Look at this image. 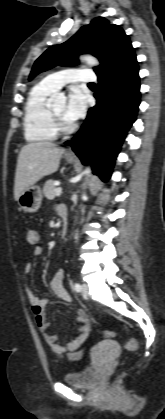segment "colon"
Wrapping results in <instances>:
<instances>
[{
	"label": "colon",
	"mask_w": 165,
	"mask_h": 419,
	"mask_svg": "<svg viewBox=\"0 0 165 419\" xmlns=\"http://www.w3.org/2000/svg\"><path fill=\"white\" fill-rule=\"evenodd\" d=\"M32 238L34 239L35 238V236L34 235H32ZM113 332L112 331H109V330H106V331H104V333H103V336L105 337V338H112L113 337ZM125 347H126V349L129 351V352H132V353H134V352H137L138 351V349H139V344H138V342L134 339V338H129L127 341H126V343H125Z\"/></svg>",
	"instance_id": "1"
}]
</instances>
